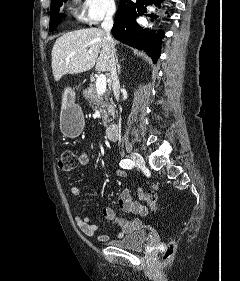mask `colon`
Masks as SVG:
<instances>
[{"instance_id":"5ec220e1","label":"colon","mask_w":240,"mask_h":281,"mask_svg":"<svg viewBox=\"0 0 240 281\" xmlns=\"http://www.w3.org/2000/svg\"><path fill=\"white\" fill-rule=\"evenodd\" d=\"M78 165V157L71 150L63 151L57 161V166L61 171L68 172L75 169ZM158 189V184H151L147 189L140 191V197L145 201L154 212L159 211V207L156 204L157 195L156 191ZM175 252V243L170 242L164 246L162 253L165 260L169 259Z\"/></svg>"}]
</instances>
